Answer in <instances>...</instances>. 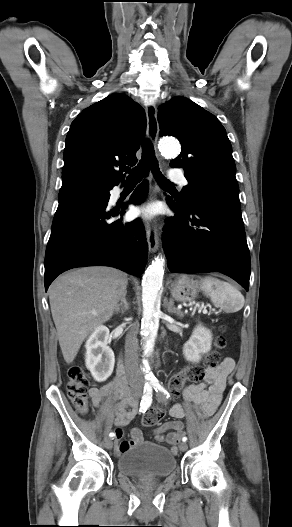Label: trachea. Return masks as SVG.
I'll use <instances>...</instances> for the list:
<instances>
[{
  "mask_svg": "<svg viewBox=\"0 0 292 527\" xmlns=\"http://www.w3.org/2000/svg\"><path fill=\"white\" fill-rule=\"evenodd\" d=\"M150 166L157 181L161 186L173 185L164 175L160 172L158 167V161L155 157L154 149L149 140H145L142 145V157L139 164L133 170H127L129 173L128 180L140 181L144 170Z\"/></svg>",
  "mask_w": 292,
  "mask_h": 527,
  "instance_id": "trachea-1",
  "label": "trachea"
}]
</instances>
